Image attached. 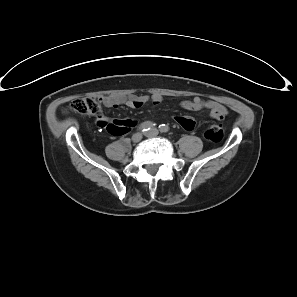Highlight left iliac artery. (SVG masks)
Segmentation results:
<instances>
[{"instance_id": "1", "label": "left iliac artery", "mask_w": 297, "mask_h": 297, "mask_svg": "<svg viewBox=\"0 0 297 297\" xmlns=\"http://www.w3.org/2000/svg\"><path fill=\"white\" fill-rule=\"evenodd\" d=\"M168 129H169L168 126H166L165 124H162L159 126L160 132H167Z\"/></svg>"}]
</instances>
